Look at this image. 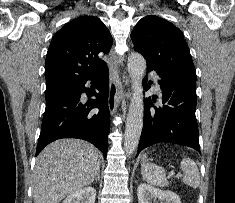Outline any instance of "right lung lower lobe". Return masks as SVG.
<instances>
[{
  "instance_id": "right-lung-lower-lobe-1",
  "label": "right lung lower lobe",
  "mask_w": 235,
  "mask_h": 203,
  "mask_svg": "<svg viewBox=\"0 0 235 203\" xmlns=\"http://www.w3.org/2000/svg\"><path fill=\"white\" fill-rule=\"evenodd\" d=\"M108 73L107 66H105L46 98V109L36 155L46 145L57 139L78 138L92 143L101 150L106 159L110 131ZM89 80L92 84H96L98 93L85 87ZM83 92L95 96L96 99L83 105L80 102Z\"/></svg>"
}]
</instances>
